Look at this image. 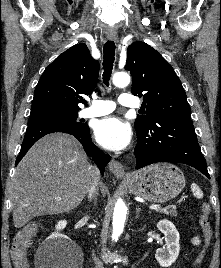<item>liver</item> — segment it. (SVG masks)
Segmentation results:
<instances>
[{"instance_id": "obj_1", "label": "liver", "mask_w": 221, "mask_h": 268, "mask_svg": "<svg viewBox=\"0 0 221 268\" xmlns=\"http://www.w3.org/2000/svg\"><path fill=\"white\" fill-rule=\"evenodd\" d=\"M80 143L64 133L37 141L18 164L11 186L13 223L21 228L42 215L75 209L96 178ZM105 195L106 187L100 184Z\"/></svg>"}]
</instances>
